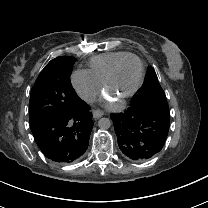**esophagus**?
<instances>
[{"label":"esophagus","instance_id":"obj_1","mask_svg":"<svg viewBox=\"0 0 208 208\" xmlns=\"http://www.w3.org/2000/svg\"><path fill=\"white\" fill-rule=\"evenodd\" d=\"M104 115V113L100 110H94L93 111V118L98 119L100 117H102Z\"/></svg>","mask_w":208,"mask_h":208}]
</instances>
